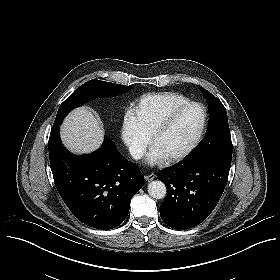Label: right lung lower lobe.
Masks as SVG:
<instances>
[{
  "mask_svg": "<svg viewBox=\"0 0 280 280\" xmlns=\"http://www.w3.org/2000/svg\"><path fill=\"white\" fill-rule=\"evenodd\" d=\"M60 123H54L48 142L55 186L73 215L88 226L113 229L128 215L130 201L144 185L136 163L126 160L104 137L102 147L75 156L61 144Z\"/></svg>",
  "mask_w": 280,
  "mask_h": 280,
  "instance_id": "obj_1",
  "label": "right lung lower lobe"
}]
</instances>
